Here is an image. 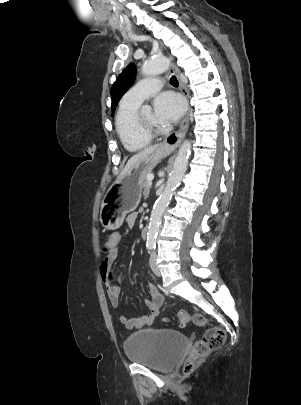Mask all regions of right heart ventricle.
<instances>
[{
    "mask_svg": "<svg viewBox=\"0 0 301 405\" xmlns=\"http://www.w3.org/2000/svg\"><path fill=\"white\" fill-rule=\"evenodd\" d=\"M139 106L121 103L115 116V128L124 148L137 152L146 147L151 139L140 135L135 129V117Z\"/></svg>",
    "mask_w": 301,
    "mask_h": 405,
    "instance_id": "right-heart-ventricle-1",
    "label": "right heart ventricle"
}]
</instances>
